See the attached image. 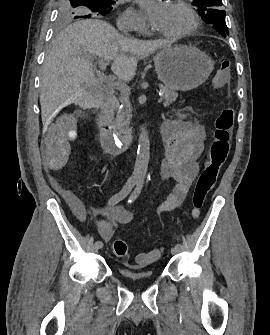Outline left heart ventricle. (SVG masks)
<instances>
[{
  "instance_id": "obj_1",
  "label": "left heart ventricle",
  "mask_w": 270,
  "mask_h": 335,
  "mask_svg": "<svg viewBox=\"0 0 270 335\" xmlns=\"http://www.w3.org/2000/svg\"><path fill=\"white\" fill-rule=\"evenodd\" d=\"M190 23V18L185 12L174 8L169 22V32L172 34L182 32L190 26Z\"/></svg>"
}]
</instances>
